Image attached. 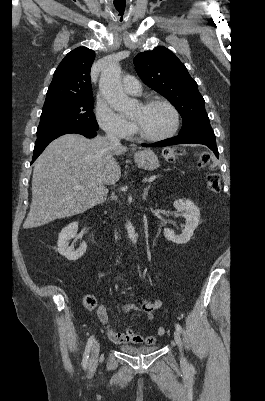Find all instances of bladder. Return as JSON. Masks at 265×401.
<instances>
[{
  "label": "bladder",
  "mask_w": 265,
  "mask_h": 401,
  "mask_svg": "<svg viewBox=\"0 0 265 401\" xmlns=\"http://www.w3.org/2000/svg\"><path fill=\"white\" fill-rule=\"evenodd\" d=\"M157 347H144V348H138L134 346H122L121 350L126 352V353H131V354H136V353H146L150 352L153 350H156Z\"/></svg>",
  "instance_id": "1"
}]
</instances>
